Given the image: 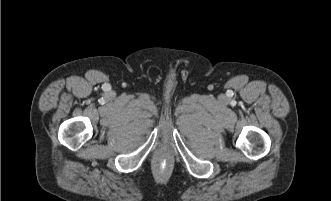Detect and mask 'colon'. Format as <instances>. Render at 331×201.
Masks as SVG:
<instances>
[{
	"label": "colon",
	"mask_w": 331,
	"mask_h": 201,
	"mask_svg": "<svg viewBox=\"0 0 331 201\" xmlns=\"http://www.w3.org/2000/svg\"><path fill=\"white\" fill-rule=\"evenodd\" d=\"M160 165L167 166V161L165 159H162L160 161Z\"/></svg>",
	"instance_id": "obj_1"
}]
</instances>
